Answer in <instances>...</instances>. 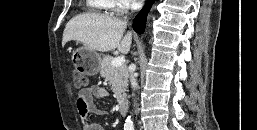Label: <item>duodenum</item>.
<instances>
[{"label":"duodenum","mask_w":257,"mask_h":130,"mask_svg":"<svg viewBox=\"0 0 257 130\" xmlns=\"http://www.w3.org/2000/svg\"><path fill=\"white\" fill-rule=\"evenodd\" d=\"M118 110L119 113L123 116L127 115L128 113V101L125 99H121L118 102Z\"/></svg>","instance_id":"1"}]
</instances>
